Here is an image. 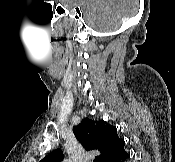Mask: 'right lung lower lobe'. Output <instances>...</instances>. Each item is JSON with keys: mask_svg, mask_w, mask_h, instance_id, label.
Wrapping results in <instances>:
<instances>
[{"mask_svg": "<svg viewBox=\"0 0 175 162\" xmlns=\"http://www.w3.org/2000/svg\"><path fill=\"white\" fill-rule=\"evenodd\" d=\"M129 157V154L125 152V150L121 151L117 154L110 162H125V160Z\"/></svg>", "mask_w": 175, "mask_h": 162, "instance_id": "right-lung-lower-lobe-1", "label": "right lung lower lobe"}]
</instances>
